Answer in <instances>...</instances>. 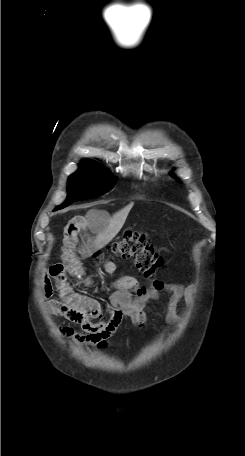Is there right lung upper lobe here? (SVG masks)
Wrapping results in <instances>:
<instances>
[{
  "instance_id": "1",
  "label": "right lung upper lobe",
  "mask_w": 245,
  "mask_h": 456,
  "mask_svg": "<svg viewBox=\"0 0 245 456\" xmlns=\"http://www.w3.org/2000/svg\"><path fill=\"white\" fill-rule=\"evenodd\" d=\"M80 166H100V165L92 160H83V161H81Z\"/></svg>"
}]
</instances>
